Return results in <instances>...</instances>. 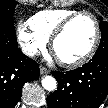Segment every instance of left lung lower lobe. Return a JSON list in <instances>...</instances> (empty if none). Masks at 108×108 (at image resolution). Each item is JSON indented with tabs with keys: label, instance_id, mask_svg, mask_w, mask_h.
I'll use <instances>...</instances> for the list:
<instances>
[{
	"label": "left lung lower lobe",
	"instance_id": "left-lung-lower-lobe-1",
	"mask_svg": "<svg viewBox=\"0 0 108 108\" xmlns=\"http://www.w3.org/2000/svg\"><path fill=\"white\" fill-rule=\"evenodd\" d=\"M52 74L58 88L47 98L49 108H98L108 94V54H95L82 67Z\"/></svg>",
	"mask_w": 108,
	"mask_h": 108
}]
</instances>
